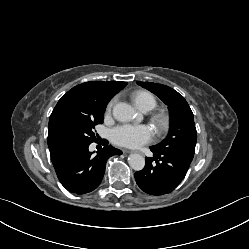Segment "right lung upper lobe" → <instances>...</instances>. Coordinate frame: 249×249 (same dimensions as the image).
<instances>
[{"instance_id":"cb5924a9","label":"right lung upper lobe","mask_w":249,"mask_h":249,"mask_svg":"<svg viewBox=\"0 0 249 249\" xmlns=\"http://www.w3.org/2000/svg\"><path fill=\"white\" fill-rule=\"evenodd\" d=\"M127 85L119 81H91L69 90L51 113L48 127V147L52 163L71 150L66 128L74 123L91 120L105 111L108 102Z\"/></svg>"}]
</instances>
